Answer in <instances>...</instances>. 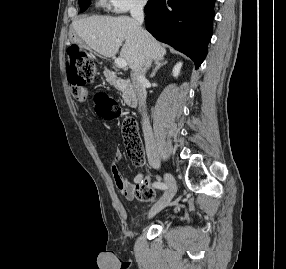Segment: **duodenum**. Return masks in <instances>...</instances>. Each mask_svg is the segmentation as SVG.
Here are the masks:
<instances>
[{"instance_id":"obj_1","label":"duodenum","mask_w":286,"mask_h":269,"mask_svg":"<svg viewBox=\"0 0 286 269\" xmlns=\"http://www.w3.org/2000/svg\"><path fill=\"white\" fill-rule=\"evenodd\" d=\"M123 102L129 108H136L138 105L136 91L128 79H124L121 83Z\"/></svg>"}]
</instances>
